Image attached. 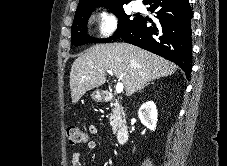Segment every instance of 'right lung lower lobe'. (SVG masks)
<instances>
[{"label": "right lung lower lobe", "instance_id": "obj_1", "mask_svg": "<svg viewBox=\"0 0 227 166\" xmlns=\"http://www.w3.org/2000/svg\"><path fill=\"white\" fill-rule=\"evenodd\" d=\"M144 4L150 5L148 9L156 13L158 21L147 26L148 19L140 16L119 38L176 63L189 79L192 68V10L189 1L147 0Z\"/></svg>", "mask_w": 227, "mask_h": 166}]
</instances>
